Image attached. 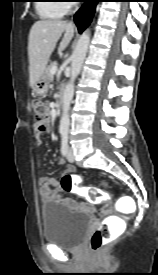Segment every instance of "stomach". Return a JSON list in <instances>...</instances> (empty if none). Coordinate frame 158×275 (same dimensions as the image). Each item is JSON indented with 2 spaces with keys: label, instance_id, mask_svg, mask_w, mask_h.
<instances>
[{
  "label": "stomach",
  "instance_id": "stomach-1",
  "mask_svg": "<svg viewBox=\"0 0 158 275\" xmlns=\"http://www.w3.org/2000/svg\"><path fill=\"white\" fill-rule=\"evenodd\" d=\"M49 82L50 81L46 73L41 75L40 78L35 82L33 86V92L35 93V95L43 96L48 90Z\"/></svg>",
  "mask_w": 158,
  "mask_h": 275
}]
</instances>
